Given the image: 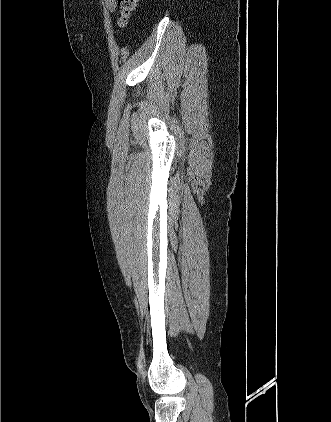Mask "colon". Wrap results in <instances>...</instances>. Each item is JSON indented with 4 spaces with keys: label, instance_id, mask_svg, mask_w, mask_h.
<instances>
[{
    "label": "colon",
    "instance_id": "5ec220e1",
    "mask_svg": "<svg viewBox=\"0 0 331 422\" xmlns=\"http://www.w3.org/2000/svg\"><path fill=\"white\" fill-rule=\"evenodd\" d=\"M138 0H118L119 16L117 25L119 28L128 26L129 21L136 10Z\"/></svg>",
    "mask_w": 331,
    "mask_h": 422
}]
</instances>
